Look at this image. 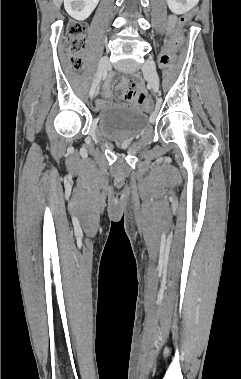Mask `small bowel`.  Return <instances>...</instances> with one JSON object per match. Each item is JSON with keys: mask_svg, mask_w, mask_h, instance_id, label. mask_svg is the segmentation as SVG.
Listing matches in <instances>:
<instances>
[{"mask_svg": "<svg viewBox=\"0 0 241 379\" xmlns=\"http://www.w3.org/2000/svg\"><path fill=\"white\" fill-rule=\"evenodd\" d=\"M171 24H174V20L171 21ZM138 83L134 80L126 81L125 79L121 80L118 84V90L121 92L122 98L132 105H140L143 107L142 99L145 98L144 89L139 88ZM130 88V89H128ZM136 89V90H135ZM103 96L109 95V88L106 87L102 93ZM106 105L105 100L101 97L98 98L95 103V110L99 111Z\"/></svg>", "mask_w": 241, "mask_h": 379, "instance_id": "small-bowel-1", "label": "small bowel"}]
</instances>
